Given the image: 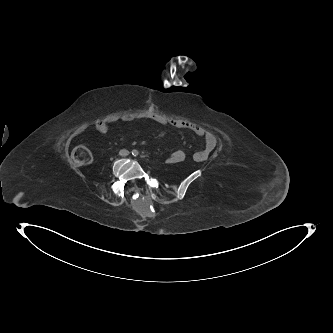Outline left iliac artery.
I'll return each mask as SVG.
<instances>
[{
	"label": "left iliac artery",
	"mask_w": 333,
	"mask_h": 333,
	"mask_svg": "<svg viewBox=\"0 0 333 333\" xmlns=\"http://www.w3.org/2000/svg\"><path fill=\"white\" fill-rule=\"evenodd\" d=\"M132 154H133L134 156H137V155H138V151L134 150V151L132 152Z\"/></svg>",
	"instance_id": "44dca946"
}]
</instances>
